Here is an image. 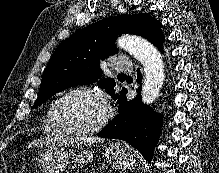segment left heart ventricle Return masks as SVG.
<instances>
[{
	"instance_id": "1",
	"label": "left heart ventricle",
	"mask_w": 219,
	"mask_h": 173,
	"mask_svg": "<svg viewBox=\"0 0 219 173\" xmlns=\"http://www.w3.org/2000/svg\"><path fill=\"white\" fill-rule=\"evenodd\" d=\"M105 111L103 102L97 96L78 93L63 103L61 116L69 128L83 130L96 125L103 118Z\"/></svg>"
}]
</instances>
